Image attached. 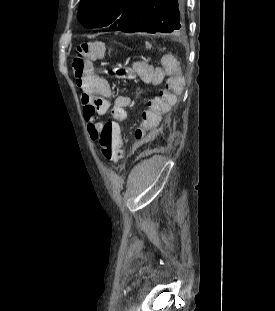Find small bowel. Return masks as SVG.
I'll use <instances>...</instances> for the list:
<instances>
[{
  "label": "small bowel",
  "instance_id": "small-bowel-1",
  "mask_svg": "<svg viewBox=\"0 0 275 311\" xmlns=\"http://www.w3.org/2000/svg\"><path fill=\"white\" fill-rule=\"evenodd\" d=\"M180 62V56H159L157 64L154 65H149V60H130V67H134L130 73L132 77L149 80V87H159V92L150 96L148 105H144L141 115L138 116L136 132L131 133L134 143H152L151 133H155L160 116H164L165 112H173V108L177 107L178 98L185 91L182 86L184 71L182 65L177 64ZM76 83L83 91V114L92 138L105 126L97 121L98 116L110 111L119 126L126 120V108L131 103L130 98L125 95L112 96L111 87L104 78L87 72L76 76Z\"/></svg>",
  "mask_w": 275,
  "mask_h": 311
}]
</instances>
